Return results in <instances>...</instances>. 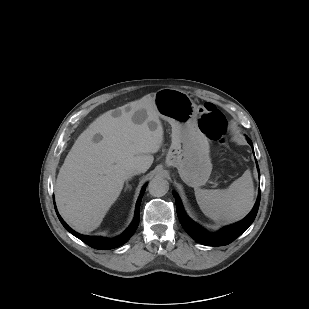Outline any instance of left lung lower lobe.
I'll use <instances>...</instances> for the list:
<instances>
[{"label": "left lung lower lobe", "instance_id": "1", "mask_svg": "<svg viewBox=\"0 0 309 309\" xmlns=\"http://www.w3.org/2000/svg\"><path fill=\"white\" fill-rule=\"evenodd\" d=\"M248 143L253 148L252 142L248 139ZM258 167V165H257ZM259 171V168H258ZM176 200L177 215L179 221L185 231L196 241L207 246H224L232 241H234L238 236H240L254 221L256 214L258 212L260 204V190L256 201V204L252 211L240 222L227 226L221 229L216 234L210 235L206 234L204 230L194 223L184 212L181 201L176 193H174Z\"/></svg>", "mask_w": 309, "mask_h": 309}]
</instances>
